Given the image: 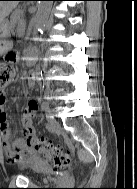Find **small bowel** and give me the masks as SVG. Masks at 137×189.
Masks as SVG:
<instances>
[{"label":"small bowel","instance_id":"c3829d8e","mask_svg":"<svg viewBox=\"0 0 137 189\" xmlns=\"http://www.w3.org/2000/svg\"><path fill=\"white\" fill-rule=\"evenodd\" d=\"M36 74L31 73L27 80L29 84L34 85ZM34 101V100H30ZM29 101V102H30ZM6 95L0 92V142L4 149L7 160L12 164L26 165L30 162L41 161L30 149L33 140L36 137L35 127L33 125V113L28 110V103L23 109V133L21 137L13 139V133L10 129L7 114L4 109Z\"/></svg>","mask_w":137,"mask_h":189}]
</instances>
